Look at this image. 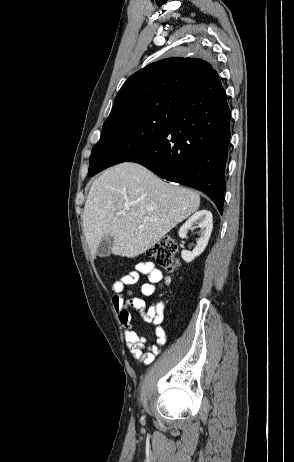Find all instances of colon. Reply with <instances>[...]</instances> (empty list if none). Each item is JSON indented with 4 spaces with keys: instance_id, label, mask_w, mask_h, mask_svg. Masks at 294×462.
<instances>
[{
    "instance_id": "1",
    "label": "colon",
    "mask_w": 294,
    "mask_h": 462,
    "mask_svg": "<svg viewBox=\"0 0 294 462\" xmlns=\"http://www.w3.org/2000/svg\"><path fill=\"white\" fill-rule=\"evenodd\" d=\"M176 252V241L171 237H165L150 247L147 254L152 257L159 266L167 271H172L177 266Z\"/></svg>"
}]
</instances>
